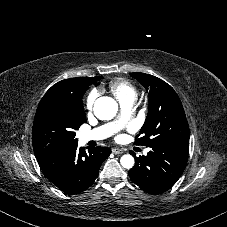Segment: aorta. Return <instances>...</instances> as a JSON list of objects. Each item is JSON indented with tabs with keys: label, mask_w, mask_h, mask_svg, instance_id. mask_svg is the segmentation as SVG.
I'll use <instances>...</instances> for the list:
<instances>
[{
	"label": "aorta",
	"mask_w": 227,
	"mask_h": 227,
	"mask_svg": "<svg viewBox=\"0 0 227 227\" xmlns=\"http://www.w3.org/2000/svg\"><path fill=\"white\" fill-rule=\"evenodd\" d=\"M118 111L117 102L111 97H100L94 104V114L100 120H110L114 118ZM120 163L124 168L130 169L134 166V158L129 155H123Z\"/></svg>",
	"instance_id": "762f6f07"
}]
</instances>
